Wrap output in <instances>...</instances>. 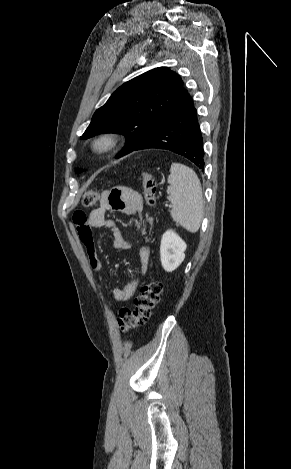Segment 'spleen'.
Wrapping results in <instances>:
<instances>
[{"label":"spleen","instance_id":"obj_1","mask_svg":"<svg viewBox=\"0 0 291 469\" xmlns=\"http://www.w3.org/2000/svg\"><path fill=\"white\" fill-rule=\"evenodd\" d=\"M167 199L172 203V219L187 231L199 230L204 214L201 182L193 169L172 163L168 176Z\"/></svg>","mask_w":291,"mask_h":469}]
</instances>
